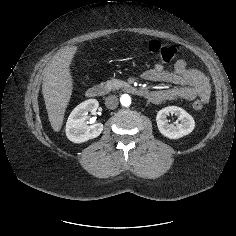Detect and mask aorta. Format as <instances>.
<instances>
[{
    "label": "aorta",
    "mask_w": 236,
    "mask_h": 236,
    "mask_svg": "<svg viewBox=\"0 0 236 236\" xmlns=\"http://www.w3.org/2000/svg\"><path fill=\"white\" fill-rule=\"evenodd\" d=\"M120 102L123 106L127 107L131 104V97L128 94H123L120 98Z\"/></svg>",
    "instance_id": "obj_1"
}]
</instances>
